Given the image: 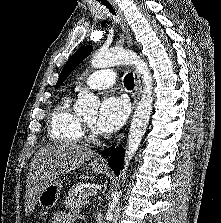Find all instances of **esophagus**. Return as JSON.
Listing matches in <instances>:
<instances>
[{
  "label": "esophagus",
  "instance_id": "obj_1",
  "mask_svg": "<svg viewBox=\"0 0 221 223\" xmlns=\"http://www.w3.org/2000/svg\"><path fill=\"white\" fill-rule=\"evenodd\" d=\"M111 4L114 7L115 11L117 12V14L120 18V21L122 23V27H123V30L125 33L126 45L128 47H131L133 45L134 39L132 36V32L130 30V27L127 24L126 19L124 18L122 12L119 10L117 4L113 1H111ZM133 75H134L135 87H134V92L132 93V99H133L132 110H134L136 108V105L138 103V100H139L140 94H141V90H142L141 80H140V76H139L138 72L135 70ZM123 138H124V133H122L119 136V138L115 142V146H118V144L122 141ZM97 162L101 163V164H106L107 160L105 158L100 157V158H98Z\"/></svg>",
  "mask_w": 221,
  "mask_h": 223
}]
</instances>
